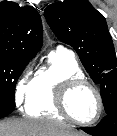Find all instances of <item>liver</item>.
<instances>
[{
  "instance_id": "liver-1",
  "label": "liver",
  "mask_w": 117,
  "mask_h": 136,
  "mask_svg": "<svg viewBox=\"0 0 117 136\" xmlns=\"http://www.w3.org/2000/svg\"><path fill=\"white\" fill-rule=\"evenodd\" d=\"M0 136H86V134L53 121L8 119L0 122Z\"/></svg>"
}]
</instances>
